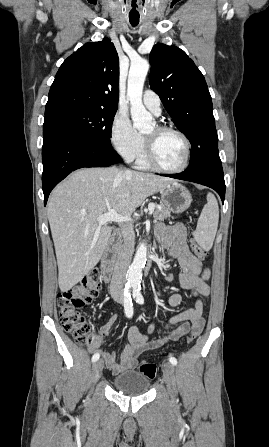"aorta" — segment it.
<instances>
[{
    "mask_svg": "<svg viewBox=\"0 0 269 447\" xmlns=\"http://www.w3.org/2000/svg\"><path fill=\"white\" fill-rule=\"evenodd\" d=\"M149 68V62L140 58V60H132L129 70L127 96H129L130 100L133 128H136V130H153L152 114L147 112L142 102L143 86ZM146 253V243H140L133 263L129 265L127 271V281L131 285H139L142 279V267L146 263Z\"/></svg>",
    "mask_w": 269,
    "mask_h": 447,
    "instance_id": "obj_1",
    "label": "aorta"
}]
</instances>
